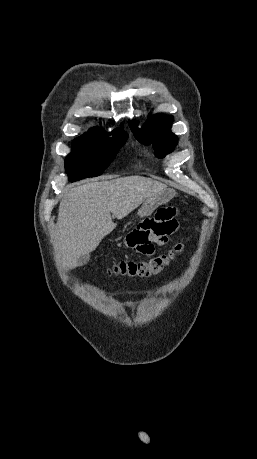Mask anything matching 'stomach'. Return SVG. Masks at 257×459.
Wrapping results in <instances>:
<instances>
[{
	"mask_svg": "<svg viewBox=\"0 0 257 459\" xmlns=\"http://www.w3.org/2000/svg\"><path fill=\"white\" fill-rule=\"evenodd\" d=\"M174 195L175 192L173 190L165 189L158 194L145 199L141 208L138 210V215L141 217L151 215L158 206L171 200Z\"/></svg>",
	"mask_w": 257,
	"mask_h": 459,
	"instance_id": "stomach-1",
	"label": "stomach"
}]
</instances>
